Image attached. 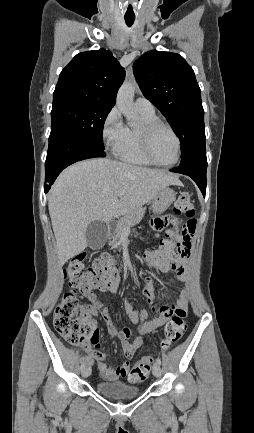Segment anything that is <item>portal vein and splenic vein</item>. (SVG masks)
Returning a JSON list of instances; mask_svg holds the SVG:
<instances>
[{
	"label": "portal vein and splenic vein",
	"mask_w": 254,
	"mask_h": 433,
	"mask_svg": "<svg viewBox=\"0 0 254 433\" xmlns=\"http://www.w3.org/2000/svg\"><path fill=\"white\" fill-rule=\"evenodd\" d=\"M124 193H125L124 191H121V192H119L118 195H119V196H122V195H124Z\"/></svg>",
	"instance_id": "18ae733b"
}]
</instances>
